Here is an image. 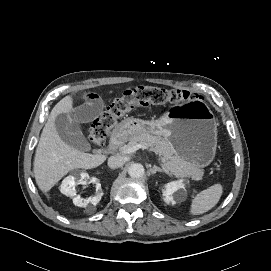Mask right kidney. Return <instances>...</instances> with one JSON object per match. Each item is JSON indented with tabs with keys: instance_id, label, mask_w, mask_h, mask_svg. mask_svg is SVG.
Returning a JSON list of instances; mask_svg holds the SVG:
<instances>
[{
	"instance_id": "1",
	"label": "right kidney",
	"mask_w": 271,
	"mask_h": 271,
	"mask_svg": "<svg viewBox=\"0 0 271 271\" xmlns=\"http://www.w3.org/2000/svg\"><path fill=\"white\" fill-rule=\"evenodd\" d=\"M88 180H89V176L86 173H81L79 180L75 176H72V175L67 176L62 181V184L60 186V191L62 194L66 196L73 197V203L75 206L86 207L89 203L95 206L101 200V197L103 195V192L99 185L97 186V189H96V195L93 197L84 199L80 197L79 195H76L75 186L78 183L87 184Z\"/></svg>"
}]
</instances>
